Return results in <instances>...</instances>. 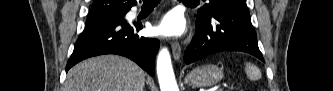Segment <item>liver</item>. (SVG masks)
Here are the masks:
<instances>
[{"mask_svg":"<svg viewBox=\"0 0 333 91\" xmlns=\"http://www.w3.org/2000/svg\"><path fill=\"white\" fill-rule=\"evenodd\" d=\"M145 76L133 61L104 55L71 68L63 91H143Z\"/></svg>","mask_w":333,"mask_h":91,"instance_id":"1","label":"liver"}]
</instances>
